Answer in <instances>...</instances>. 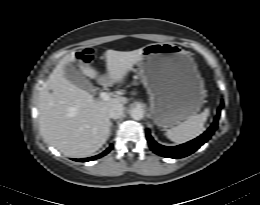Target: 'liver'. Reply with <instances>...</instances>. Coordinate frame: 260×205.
<instances>
[{
	"label": "liver",
	"mask_w": 260,
	"mask_h": 205,
	"mask_svg": "<svg viewBox=\"0 0 260 205\" xmlns=\"http://www.w3.org/2000/svg\"><path fill=\"white\" fill-rule=\"evenodd\" d=\"M143 48L133 51L105 52L107 79L122 83L132 67L142 59ZM75 53L65 55L46 81L39 96V123L44 139L65 156L87 157L99 150L109 137L108 109L126 104V97L116 95L108 101L95 100L84 89L65 78L66 64L75 62ZM83 73L97 79L99 73L80 64Z\"/></svg>",
	"instance_id": "liver-1"
}]
</instances>
